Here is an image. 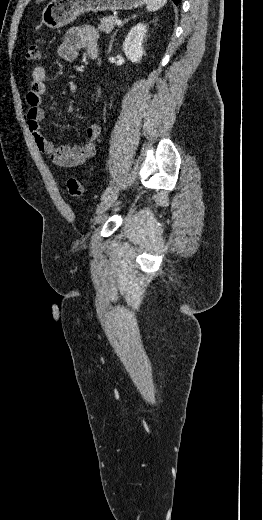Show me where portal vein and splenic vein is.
Instances as JSON below:
<instances>
[{
  "mask_svg": "<svg viewBox=\"0 0 263 520\" xmlns=\"http://www.w3.org/2000/svg\"><path fill=\"white\" fill-rule=\"evenodd\" d=\"M115 23H116L117 25H120V24L122 23V21L119 20V19H117V20L115 21Z\"/></svg>",
  "mask_w": 263,
  "mask_h": 520,
  "instance_id": "1",
  "label": "portal vein and splenic vein"
}]
</instances>
